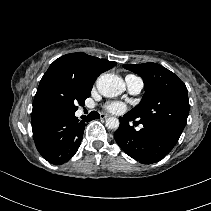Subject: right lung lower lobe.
<instances>
[{
	"label": "right lung lower lobe",
	"mask_w": 211,
	"mask_h": 211,
	"mask_svg": "<svg viewBox=\"0 0 211 211\" xmlns=\"http://www.w3.org/2000/svg\"><path fill=\"white\" fill-rule=\"evenodd\" d=\"M98 118L100 115L92 111L86 121H79L72 113L32 123L33 138L38 152L51 164L65 163L77 152L85 123Z\"/></svg>",
	"instance_id": "1"
}]
</instances>
